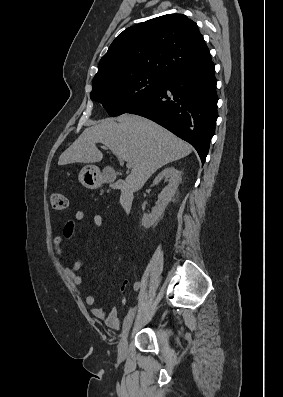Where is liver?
<instances>
[{"instance_id":"1","label":"liver","mask_w":283,"mask_h":397,"mask_svg":"<svg viewBox=\"0 0 283 397\" xmlns=\"http://www.w3.org/2000/svg\"><path fill=\"white\" fill-rule=\"evenodd\" d=\"M131 165L125 185L140 190L162 166L188 156L192 147L160 125L138 115L124 114L86 128L59 157L58 164L95 163L103 158L96 143Z\"/></svg>"}]
</instances>
